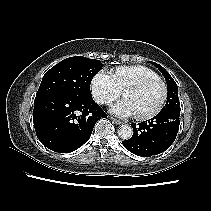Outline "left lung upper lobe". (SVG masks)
I'll list each match as a JSON object with an SVG mask.
<instances>
[{
  "label": "left lung upper lobe",
  "mask_w": 211,
  "mask_h": 211,
  "mask_svg": "<svg viewBox=\"0 0 211 211\" xmlns=\"http://www.w3.org/2000/svg\"><path fill=\"white\" fill-rule=\"evenodd\" d=\"M154 66H156L161 73L163 74L167 87H168V95H167V102L165 106L162 108L160 112H175L180 114V102L178 97V87L176 82L170 76V74L159 64L151 62Z\"/></svg>",
  "instance_id": "obj_1"
}]
</instances>
